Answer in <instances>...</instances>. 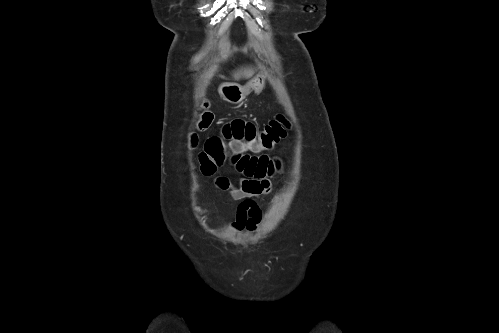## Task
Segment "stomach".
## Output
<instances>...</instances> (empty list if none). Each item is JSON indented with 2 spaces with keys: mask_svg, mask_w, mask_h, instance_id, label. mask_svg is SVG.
I'll return each mask as SVG.
<instances>
[{
  "mask_svg": "<svg viewBox=\"0 0 499 333\" xmlns=\"http://www.w3.org/2000/svg\"><path fill=\"white\" fill-rule=\"evenodd\" d=\"M264 84V76L262 74H257L245 86H241L237 83L222 84L219 87V94L225 101L232 104H238L241 103L251 91L259 94L263 90Z\"/></svg>",
  "mask_w": 499,
  "mask_h": 333,
  "instance_id": "stomach-1",
  "label": "stomach"
}]
</instances>
